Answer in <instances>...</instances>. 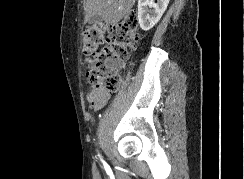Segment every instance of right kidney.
Wrapping results in <instances>:
<instances>
[{"instance_id":"ca27d5eb","label":"right kidney","mask_w":244,"mask_h":179,"mask_svg":"<svg viewBox=\"0 0 244 179\" xmlns=\"http://www.w3.org/2000/svg\"><path fill=\"white\" fill-rule=\"evenodd\" d=\"M169 2L170 0H158L157 4H154V0H138L137 18L141 30L144 32L151 30L162 18ZM148 8H153V10H148Z\"/></svg>"}]
</instances>
